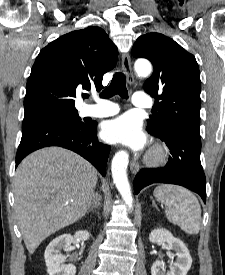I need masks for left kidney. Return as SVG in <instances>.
I'll return each instance as SVG.
<instances>
[{
	"instance_id": "obj_1",
	"label": "left kidney",
	"mask_w": 225,
	"mask_h": 275,
	"mask_svg": "<svg viewBox=\"0 0 225 275\" xmlns=\"http://www.w3.org/2000/svg\"><path fill=\"white\" fill-rule=\"evenodd\" d=\"M149 240L155 244L168 243L171 250L176 253L175 263H171L170 270L165 272V264L161 261H155L151 267V275H186L192 265V258L185 244L178 238H175L168 230L156 229L149 235Z\"/></svg>"
}]
</instances>
